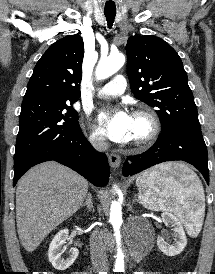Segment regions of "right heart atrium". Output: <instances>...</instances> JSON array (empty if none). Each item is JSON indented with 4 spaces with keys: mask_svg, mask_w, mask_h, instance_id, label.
<instances>
[{
    "mask_svg": "<svg viewBox=\"0 0 215 274\" xmlns=\"http://www.w3.org/2000/svg\"><path fill=\"white\" fill-rule=\"evenodd\" d=\"M90 144L98 149H104L106 147V139L104 133L98 128H91L88 136Z\"/></svg>",
    "mask_w": 215,
    "mask_h": 274,
    "instance_id": "d8ad5b80",
    "label": "right heart atrium"
}]
</instances>
